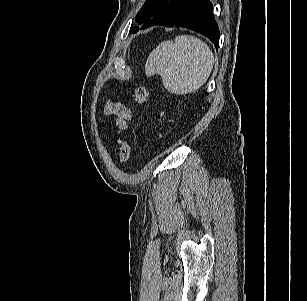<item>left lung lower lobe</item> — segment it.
Instances as JSON below:
<instances>
[{
    "instance_id": "0a47b994",
    "label": "left lung lower lobe",
    "mask_w": 307,
    "mask_h": 301,
    "mask_svg": "<svg viewBox=\"0 0 307 301\" xmlns=\"http://www.w3.org/2000/svg\"><path fill=\"white\" fill-rule=\"evenodd\" d=\"M153 25L180 26L199 32L209 38L216 48L220 32L209 0H179L175 6Z\"/></svg>"
}]
</instances>
